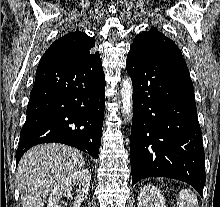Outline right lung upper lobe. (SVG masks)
I'll return each mask as SVG.
<instances>
[{"instance_id": "cb5924a9", "label": "right lung upper lobe", "mask_w": 220, "mask_h": 207, "mask_svg": "<svg viewBox=\"0 0 220 207\" xmlns=\"http://www.w3.org/2000/svg\"><path fill=\"white\" fill-rule=\"evenodd\" d=\"M95 46L94 39L83 32L73 31L54 41L42 56L40 64L71 62L88 57Z\"/></svg>"}]
</instances>
